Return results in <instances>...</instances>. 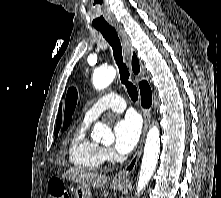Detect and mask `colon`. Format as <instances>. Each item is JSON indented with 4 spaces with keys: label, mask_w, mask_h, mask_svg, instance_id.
I'll list each match as a JSON object with an SVG mask.
<instances>
[{
    "label": "colon",
    "mask_w": 221,
    "mask_h": 198,
    "mask_svg": "<svg viewBox=\"0 0 221 198\" xmlns=\"http://www.w3.org/2000/svg\"><path fill=\"white\" fill-rule=\"evenodd\" d=\"M49 198H69L64 184L59 179H51L48 183Z\"/></svg>",
    "instance_id": "obj_1"
}]
</instances>
